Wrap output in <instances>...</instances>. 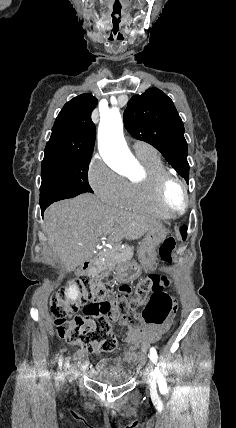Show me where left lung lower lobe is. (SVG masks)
Instances as JSON below:
<instances>
[{
  "label": "left lung lower lobe",
  "mask_w": 236,
  "mask_h": 428,
  "mask_svg": "<svg viewBox=\"0 0 236 428\" xmlns=\"http://www.w3.org/2000/svg\"><path fill=\"white\" fill-rule=\"evenodd\" d=\"M180 232H181L183 239H185L187 236V227L186 226L181 227Z\"/></svg>",
  "instance_id": "1"
}]
</instances>
